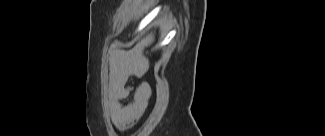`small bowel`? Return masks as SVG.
<instances>
[{
	"instance_id": "small-bowel-1",
	"label": "small bowel",
	"mask_w": 325,
	"mask_h": 136,
	"mask_svg": "<svg viewBox=\"0 0 325 136\" xmlns=\"http://www.w3.org/2000/svg\"><path fill=\"white\" fill-rule=\"evenodd\" d=\"M144 71L145 68L126 52L113 51L111 53L109 109L112 122L119 127H128L143 114L148 105L152 88L147 81L140 83L126 105L123 103L131 93L128 80L133 76L141 77Z\"/></svg>"
}]
</instances>
